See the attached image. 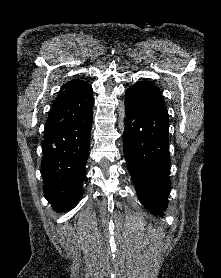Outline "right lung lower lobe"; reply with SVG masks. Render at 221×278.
I'll use <instances>...</instances> for the list:
<instances>
[{"instance_id":"1","label":"right lung lower lobe","mask_w":221,"mask_h":278,"mask_svg":"<svg viewBox=\"0 0 221 278\" xmlns=\"http://www.w3.org/2000/svg\"><path fill=\"white\" fill-rule=\"evenodd\" d=\"M93 105L80 118L44 137L41 171L45 198L57 212L75 207L82 198Z\"/></svg>"}]
</instances>
